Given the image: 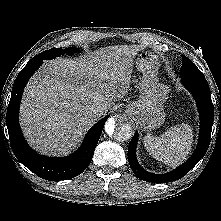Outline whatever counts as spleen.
I'll use <instances>...</instances> for the list:
<instances>
[{
    "instance_id": "3e777b00",
    "label": "spleen",
    "mask_w": 221,
    "mask_h": 221,
    "mask_svg": "<svg viewBox=\"0 0 221 221\" xmlns=\"http://www.w3.org/2000/svg\"><path fill=\"white\" fill-rule=\"evenodd\" d=\"M193 142L192 128L188 124L171 126L159 137L148 134L144 146L149 154L168 166H177L190 153Z\"/></svg>"
}]
</instances>
